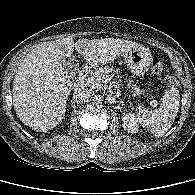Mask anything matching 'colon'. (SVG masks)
<instances>
[{
    "label": "colon",
    "mask_w": 195,
    "mask_h": 195,
    "mask_svg": "<svg viewBox=\"0 0 195 195\" xmlns=\"http://www.w3.org/2000/svg\"><path fill=\"white\" fill-rule=\"evenodd\" d=\"M152 70L156 74H162L167 71V65L163 59L154 57L152 62ZM165 83L168 87H176L178 85L177 79L169 74L165 75Z\"/></svg>",
    "instance_id": "1"
}]
</instances>
